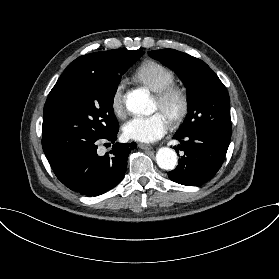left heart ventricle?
Masks as SVG:
<instances>
[{"label":"left heart ventricle","instance_id":"b2bd125f","mask_svg":"<svg viewBox=\"0 0 279 279\" xmlns=\"http://www.w3.org/2000/svg\"><path fill=\"white\" fill-rule=\"evenodd\" d=\"M156 109L161 111L165 115V117L168 119L169 115L173 113V111L175 109V106L173 104H170V105H168L166 107H162L158 103L157 99H155V110Z\"/></svg>","mask_w":279,"mask_h":279}]
</instances>
